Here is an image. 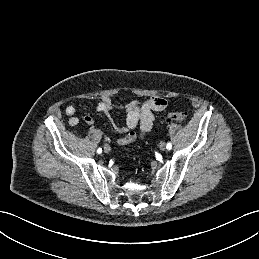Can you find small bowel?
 <instances>
[{"label":"small bowel","instance_id":"obj_1","mask_svg":"<svg viewBox=\"0 0 259 259\" xmlns=\"http://www.w3.org/2000/svg\"><path fill=\"white\" fill-rule=\"evenodd\" d=\"M166 106L167 101L158 96H152L143 101L134 100L123 106L115 105L110 98L103 97L98 101L96 110L106 115H109L110 111L115 108L125 112V124L117 126L121 136L116 138L115 142L118 145H127L137 138H143L153 127L154 112L162 111ZM65 113L71 126L78 124L79 119L75 116L76 108L74 106H67ZM84 121L89 125L94 124V120L90 116H85ZM137 127L139 128L138 133L135 130Z\"/></svg>","mask_w":259,"mask_h":259}]
</instances>
